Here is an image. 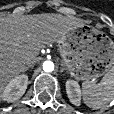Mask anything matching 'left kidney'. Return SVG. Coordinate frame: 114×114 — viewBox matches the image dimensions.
Instances as JSON below:
<instances>
[{
	"label": "left kidney",
	"instance_id": "obj_1",
	"mask_svg": "<svg viewBox=\"0 0 114 114\" xmlns=\"http://www.w3.org/2000/svg\"><path fill=\"white\" fill-rule=\"evenodd\" d=\"M66 92L70 102L75 106H79L81 101V90L79 84L74 80H67Z\"/></svg>",
	"mask_w": 114,
	"mask_h": 114
}]
</instances>
